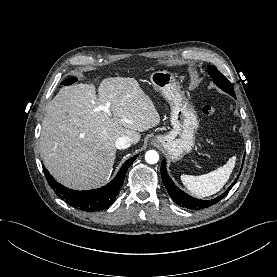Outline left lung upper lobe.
<instances>
[{
    "label": "left lung upper lobe",
    "mask_w": 277,
    "mask_h": 277,
    "mask_svg": "<svg viewBox=\"0 0 277 277\" xmlns=\"http://www.w3.org/2000/svg\"><path fill=\"white\" fill-rule=\"evenodd\" d=\"M208 73L219 88L235 98V93L231 83L222 73H220L214 66L211 65L208 66Z\"/></svg>",
    "instance_id": "5c2ea615"
}]
</instances>
